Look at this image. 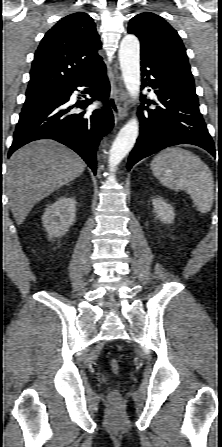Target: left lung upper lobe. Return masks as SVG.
<instances>
[{
    "label": "left lung upper lobe",
    "instance_id": "obj_1",
    "mask_svg": "<svg viewBox=\"0 0 222 447\" xmlns=\"http://www.w3.org/2000/svg\"><path fill=\"white\" fill-rule=\"evenodd\" d=\"M128 33L135 34L141 43V55H146L169 67L194 85L186 49L176 32L160 16L144 12L133 17Z\"/></svg>",
    "mask_w": 222,
    "mask_h": 447
}]
</instances>
